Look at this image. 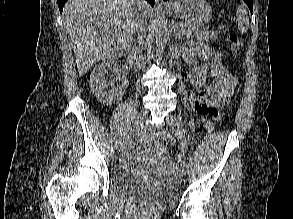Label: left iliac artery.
Wrapping results in <instances>:
<instances>
[{"label": "left iliac artery", "mask_w": 293, "mask_h": 219, "mask_svg": "<svg viewBox=\"0 0 293 219\" xmlns=\"http://www.w3.org/2000/svg\"><path fill=\"white\" fill-rule=\"evenodd\" d=\"M178 122H179V126L181 128V142H180L181 143V151L179 153V156H180V158L182 157L185 160L188 146H187L186 137H185L183 117H182V113H181L180 109H178Z\"/></svg>", "instance_id": "44dca946"}]
</instances>
